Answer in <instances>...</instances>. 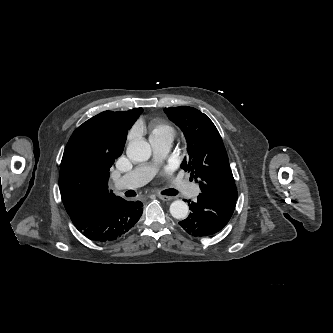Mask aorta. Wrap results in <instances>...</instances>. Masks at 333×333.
Masks as SVG:
<instances>
[{
  "instance_id": "obj_1",
  "label": "aorta",
  "mask_w": 333,
  "mask_h": 333,
  "mask_svg": "<svg viewBox=\"0 0 333 333\" xmlns=\"http://www.w3.org/2000/svg\"><path fill=\"white\" fill-rule=\"evenodd\" d=\"M126 154L129 159L143 162L150 158L151 147L147 141L135 140L129 143ZM189 207L182 200H175L170 205V213L176 219H185L188 216Z\"/></svg>"
}]
</instances>
